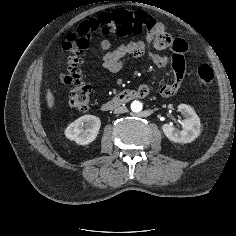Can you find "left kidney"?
<instances>
[{"mask_svg": "<svg viewBox=\"0 0 236 236\" xmlns=\"http://www.w3.org/2000/svg\"><path fill=\"white\" fill-rule=\"evenodd\" d=\"M178 111L185 118L181 125L183 130L176 129L172 123H166L162 126L165 136L175 143H191L200 135V119L193 108L186 104H180Z\"/></svg>", "mask_w": 236, "mask_h": 236, "instance_id": "5707ae66", "label": "left kidney"}]
</instances>
